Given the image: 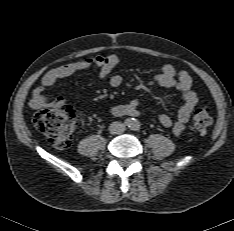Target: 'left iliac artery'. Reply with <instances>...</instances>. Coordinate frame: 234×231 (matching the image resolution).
Here are the masks:
<instances>
[{
    "label": "left iliac artery",
    "mask_w": 234,
    "mask_h": 231,
    "mask_svg": "<svg viewBox=\"0 0 234 231\" xmlns=\"http://www.w3.org/2000/svg\"><path fill=\"white\" fill-rule=\"evenodd\" d=\"M134 126H135V127H134L135 129H137V128H138V125H137V124H135Z\"/></svg>",
    "instance_id": "1"
}]
</instances>
